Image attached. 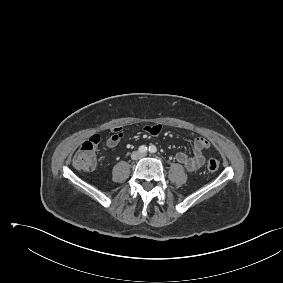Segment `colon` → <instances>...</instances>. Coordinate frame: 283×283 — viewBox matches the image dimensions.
Masks as SVG:
<instances>
[{"label": "colon", "mask_w": 283, "mask_h": 283, "mask_svg": "<svg viewBox=\"0 0 283 283\" xmlns=\"http://www.w3.org/2000/svg\"><path fill=\"white\" fill-rule=\"evenodd\" d=\"M100 142L98 135H93L85 141L73 157V165L76 169L82 171H90L95 167L96 149ZM219 161L215 158H210L206 167L210 172H215L219 168Z\"/></svg>", "instance_id": "1"}]
</instances>
